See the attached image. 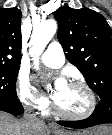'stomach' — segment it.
<instances>
[{"label": "stomach", "instance_id": "1", "mask_svg": "<svg viewBox=\"0 0 112 135\" xmlns=\"http://www.w3.org/2000/svg\"><path fill=\"white\" fill-rule=\"evenodd\" d=\"M110 134H112V131L109 127H106V126L95 128L90 132L84 131V132L63 133V132L55 131V135H110Z\"/></svg>", "mask_w": 112, "mask_h": 135}]
</instances>
